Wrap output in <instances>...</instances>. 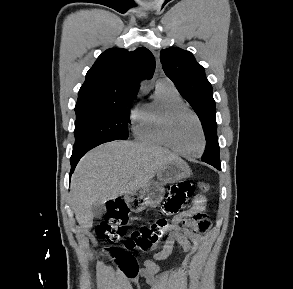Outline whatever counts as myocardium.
I'll return each mask as SVG.
<instances>
[{
  "label": "myocardium",
  "mask_w": 293,
  "mask_h": 289,
  "mask_svg": "<svg viewBox=\"0 0 293 289\" xmlns=\"http://www.w3.org/2000/svg\"><path fill=\"white\" fill-rule=\"evenodd\" d=\"M183 112H187L189 113L194 120L197 123V126L199 128V132H200V136H201V147L198 153L196 154H188L183 152L182 150H180L172 137V125H173V121L174 119ZM163 134L165 137V140L168 144V146L177 154H179L182 157L188 158V159H195V158H199L203 155L205 149H206V136H205V132H204V128L202 125V122L199 118V116L188 106L181 104V105H176L173 106L171 108H169L164 116V121H163Z\"/></svg>",
  "instance_id": "obj_1"
}]
</instances>
